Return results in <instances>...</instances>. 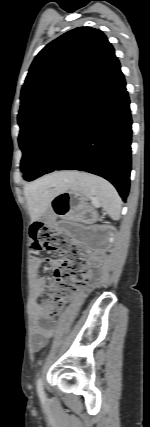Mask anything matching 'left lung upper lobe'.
I'll return each instance as SVG.
<instances>
[{
  "instance_id": "left-lung-upper-lobe-1",
  "label": "left lung upper lobe",
  "mask_w": 150,
  "mask_h": 427,
  "mask_svg": "<svg viewBox=\"0 0 150 427\" xmlns=\"http://www.w3.org/2000/svg\"><path fill=\"white\" fill-rule=\"evenodd\" d=\"M98 29L78 27L46 45L35 57L21 90L18 114L21 171L45 128L83 86L115 58Z\"/></svg>"
}]
</instances>
